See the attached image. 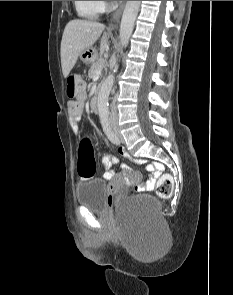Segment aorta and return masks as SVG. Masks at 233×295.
Here are the masks:
<instances>
[{"label":"aorta","mask_w":233,"mask_h":295,"mask_svg":"<svg viewBox=\"0 0 233 295\" xmlns=\"http://www.w3.org/2000/svg\"><path fill=\"white\" fill-rule=\"evenodd\" d=\"M141 1H127L120 24V40L123 47H127L129 39L132 35L135 20L140 8ZM114 83V76L111 74L107 77L100 93L98 95V110L100 114H108V98Z\"/></svg>","instance_id":"obj_1"}]
</instances>
